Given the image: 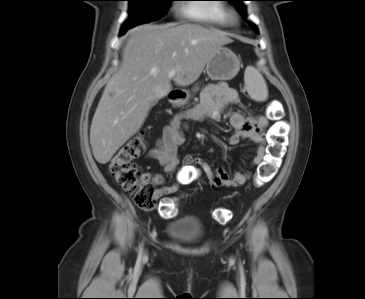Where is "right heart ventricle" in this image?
Masks as SVG:
<instances>
[{
	"mask_svg": "<svg viewBox=\"0 0 365 299\" xmlns=\"http://www.w3.org/2000/svg\"><path fill=\"white\" fill-rule=\"evenodd\" d=\"M201 3L188 4L183 8L184 16L194 22L224 27L227 25L228 9L221 0H193Z\"/></svg>",
	"mask_w": 365,
	"mask_h": 299,
	"instance_id": "e07e8e85",
	"label": "right heart ventricle"
}]
</instances>
